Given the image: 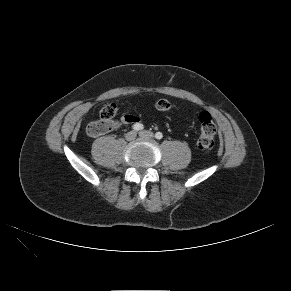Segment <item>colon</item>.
Returning <instances> with one entry per match:
<instances>
[{"label": "colon", "instance_id": "colon-1", "mask_svg": "<svg viewBox=\"0 0 291 291\" xmlns=\"http://www.w3.org/2000/svg\"><path fill=\"white\" fill-rule=\"evenodd\" d=\"M122 103L115 100L111 104H106L99 111L97 120L91 122L86 127V132L89 136L96 137L102 135L112 129V119L116 113V107L120 108ZM156 109L158 111H167L171 104L167 99H160L156 102ZM200 124V132L197 140V146L202 151H209L214 147L216 125L208 112H201L198 116Z\"/></svg>", "mask_w": 291, "mask_h": 291}]
</instances>
